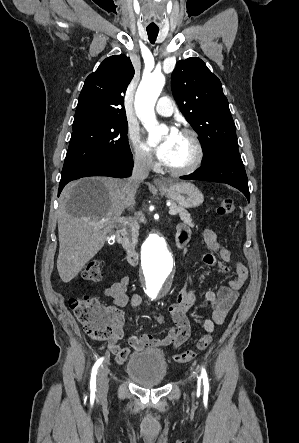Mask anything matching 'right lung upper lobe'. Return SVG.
<instances>
[{
  "label": "right lung upper lobe",
  "instance_id": "1",
  "mask_svg": "<svg viewBox=\"0 0 299 443\" xmlns=\"http://www.w3.org/2000/svg\"><path fill=\"white\" fill-rule=\"evenodd\" d=\"M134 76L130 58H106L85 80L73 125L107 118H126L123 94Z\"/></svg>",
  "mask_w": 299,
  "mask_h": 443
}]
</instances>
